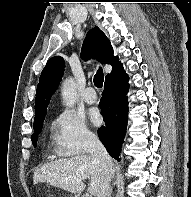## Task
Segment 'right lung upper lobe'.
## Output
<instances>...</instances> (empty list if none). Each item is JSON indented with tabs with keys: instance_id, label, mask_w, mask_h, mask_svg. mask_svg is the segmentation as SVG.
<instances>
[{
	"instance_id": "right-lung-upper-lobe-1",
	"label": "right lung upper lobe",
	"mask_w": 191,
	"mask_h": 197,
	"mask_svg": "<svg viewBox=\"0 0 191 197\" xmlns=\"http://www.w3.org/2000/svg\"><path fill=\"white\" fill-rule=\"evenodd\" d=\"M81 58L88 60L97 59L102 64H111L112 72L106 76V79L124 71L119 58L113 55V47L106 35L98 28H92L84 40ZM65 63L62 57L55 56L51 58L43 69L39 84L37 86L35 98V119L34 125L44 120L47 111V105L59 82L64 74Z\"/></svg>"
}]
</instances>
